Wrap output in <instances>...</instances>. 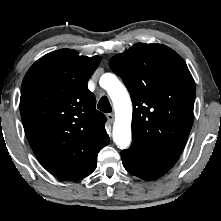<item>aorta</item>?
Instances as JSON below:
<instances>
[{"label": "aorta", "mask_w": 221, "mask_h": 221, "mask_svg": "<svg viewBox=\"0 0 221 221\" xmlns=\"http://www.w3.org/2000/svg\"><path fill=\"white\" fill-rule=\"evenodd\" d=\"M102 87L108 92L115 110L113 140L120 149L131 142L132 103L128 91L113 74L103 76Z\"/></svg>", "instance_id": "762f6f07"}]
</instances>
